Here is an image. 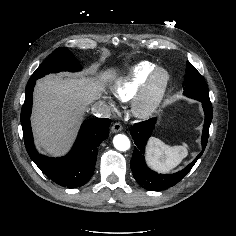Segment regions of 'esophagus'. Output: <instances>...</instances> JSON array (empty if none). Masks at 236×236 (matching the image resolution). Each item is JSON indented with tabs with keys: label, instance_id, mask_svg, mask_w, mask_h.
Segmentation results:
<instances>
[{
	"label": "esophagus",
	"instance_id": "34e87169",
	"mask_svg": "<svg viewBox=\"0 0 236 236\" xmlns=\"http://www.w3.org/2000/svg\"><path fill=\"white\" fill-rule=\"evenodd\" d=\"M111 130L113 133L120 132L122 130V125L119 122H116L112 125Z\"/></svg>",
	"mask_w": 236,
	"mask_h": 236
}]
</instances>
